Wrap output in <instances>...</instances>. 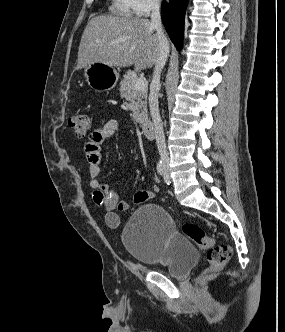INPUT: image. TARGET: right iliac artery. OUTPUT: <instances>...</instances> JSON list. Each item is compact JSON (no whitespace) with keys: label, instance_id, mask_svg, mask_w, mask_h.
Here are the masks:
<instances>
[{"label":"right iliac artery","instance_id":"right-iliac-artery-1","mask_svg":"<svg viewBox=\"0 0 285 332\" xmlns=\"http://www.w3.org/2000/svg\"><path fill=\"white\" fill-rule=\"evenodd\" d=\"M157 172L162 175L164 172V165L162 161H159L157 164Z\"/></svg>","mask_w":285,"mask_h":332}]
</instances>
